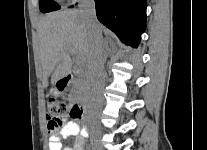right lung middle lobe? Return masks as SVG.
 I'll return each mask as SVG.
<instances>
[{"label": "right lung middle lobe", "instance_id": "dd1d6c3e", "mask_svg": "<svg viewBox=\"0 0 207 150\" xmlns=\"http://www.w3.org/2000/svg\"><path fill=\"white\" fill-rule=\"evenodd\" d=\"M60 9V6L52 0H40V10L43 13Z\"/></svg>", "mask_w": 207, "mask_h": 150}]
</instances>
